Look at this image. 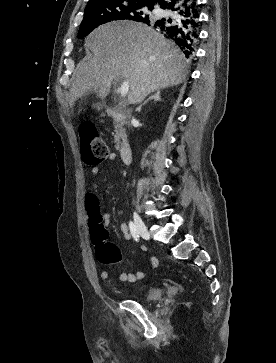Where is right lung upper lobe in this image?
<instances>
[{
    "label": "right lung upper lobe",
    "instance_id": "obj_1",
    "mask_svg": "<svg viewBox=\"0 0 276 363\" xmlns=\"http://www.w3.org/2000/svg\"><path fill=\"white\" fill-rule=\"evenodd\" d=\"M101 1H108V0H89L87 6L91 5L93 3H96V2H101ZM124 1L142 2V3H146L147 5L153 7L157 3L161 4L164 0H124ZM145 20H148V19H145ZM145 20H143L142 22H144Z\"/></svg>",
    "mask_w": 276,
    "mask_h": 363
}]
</instances>
